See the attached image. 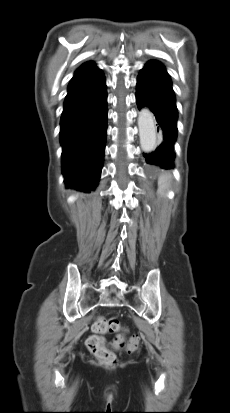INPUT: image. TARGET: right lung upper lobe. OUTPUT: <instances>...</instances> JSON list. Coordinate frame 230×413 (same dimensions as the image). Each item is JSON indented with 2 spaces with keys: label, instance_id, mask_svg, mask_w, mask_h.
<instances>
[{
  "label": "right lung upper lobe",
  "instance_id": "1",
  "mask_svg": "<svg viewBox=\"0 0 230 413\" xmlns=\"http://www.w3.org/2000/svg\"><path fill=\"white\" fill-rule=\"evenodd\" d=\"M94 67H95L94 62H92V61L86 62L76 70L75 74H78L82 71H85V70H88V69H91V68H94Z\"/></svg>",
  "mask_w": 230,
  "mask_h": 413
}]
</instances>
